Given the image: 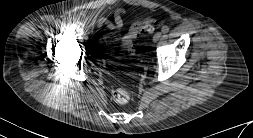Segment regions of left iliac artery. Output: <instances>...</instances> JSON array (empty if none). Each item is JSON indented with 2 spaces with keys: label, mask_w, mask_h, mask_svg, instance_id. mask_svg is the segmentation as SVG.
Segmentation results:
<instances>
[{
  "label": "left iliac artery",
  "mask_w": 253,
  "mask_h": 138,
  "mask_svg": "<svg viewBox=\"0 0 253 138\" xmlns=\"http://www.w3.org/2000/svg\"><path fill=\"white\" fill-rule=\"evenodd\" d=\"M168 30H169V28L167 26H163L161 29L162 33H167Z\"/></svg>",
  "instance_id": "obj_1"
}]
</instances>
